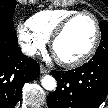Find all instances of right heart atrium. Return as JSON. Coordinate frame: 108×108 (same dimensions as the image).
<instances>
[{"instance_id": "1", "label": "right heart atrium", "mask_w": 108, "mask_h": 108, "mask_svg": "<svg viewBox=\"0 0 108 108\" xmlns=\"http://www.w3.org/2000/svg\"><path fill=\"white\" fill-rule=\"evenodd\" d=\"M17 35L19 42L28 55H35L42 51L47 41L29 29L26 23H21L17 27Z\"/></svg>"}]
</instances>
